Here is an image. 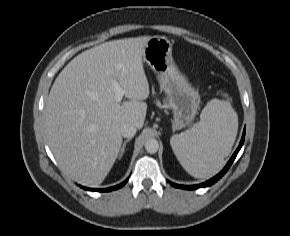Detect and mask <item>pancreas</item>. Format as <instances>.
<instances>
[{
  "instance_id": "1",
  "label": "pancreas",
  "mask_w": 290,
  "mask_h": 236,
  "mask_svg": "<svg viewBox=\"0 0 290 236\" xmlns=\"http://www.w3.org/2000/svg\"><path fill=\"white\" fill-rule=\"evenodd\" d=\"M156 105L159 107H163V105L159 101H156Z\"/></svg>"
}]
</instances>
